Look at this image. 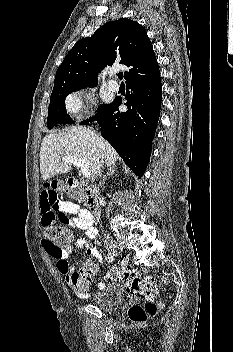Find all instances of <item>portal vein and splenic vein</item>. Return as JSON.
Listing matches in <instances>:
<instances>
[{
    "label": "portal vein and splenic vein",
    "instance_id": "18ae733b",
    "mask_svg": "<svg viewBox=\"0 0 233 352\" xmlns=\"http://www.w3.org/2000/svg\"><path fill=\"white\" fill-rule=\"evenodd\" d=\"M65 161V162H70L73 165L77 166L78 168H80L82 170V173L84 175V177L89 178L91 176V173L89 171V163L87 161L81 160V159H77L74 158L72 156H65L62 157L61 159H58Z\"/></svg>",
    "mask_w": 233,
    "mask_h": 352
}]
</instances>
